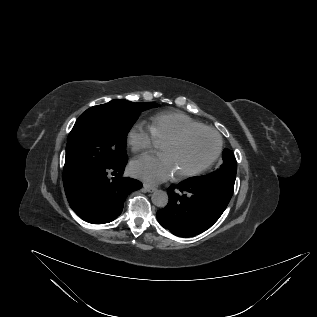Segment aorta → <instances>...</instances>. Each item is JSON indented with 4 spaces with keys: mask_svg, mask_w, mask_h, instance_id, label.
Wrapping results in <instances>:
<instances>
[{
    "mask_svg": "<svg viewBox=\"0 0 317 317\" xmlns=\"http://www.w3.org/2000/svg\"><path fill=\"white\" fill-rule=\"evenodd\" d=\"M152 203L157 207H165L168 204L169 197L163 190H155L151 196Z\"/></svg>",
    "mask_w": 317,
    "mask_h": 317,
    "instance_id": "1",
    "label": "aorta"
}]
</instances>
